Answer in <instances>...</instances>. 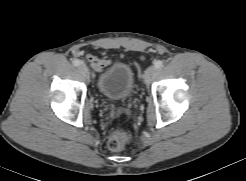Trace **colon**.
Listing matches in <instances>:
<instances>
[{"label": "colon", "instance_id": "5ec220e1", "mask_svg": "<svg viewBox=\"0 0 246 181\" xmlns=\"http://www.w3.org/2000/svg\"><path fill=\"white\" fill-rule=\"evenodd\" d=\"M128 140V133L123 130H118L111 133L107 141V146L112 151H120L126 146Z\"/></svg>", "mask_w": 246, "mask_h": 181}]
</instances>
